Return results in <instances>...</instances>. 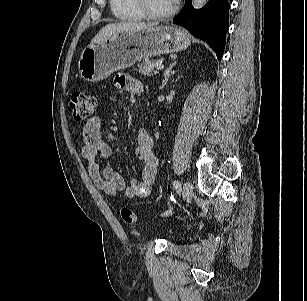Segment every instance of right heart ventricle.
I'll return each instance as SVG.
<instances>
[{
  "label": "right heart ventricle",
  "mask_w": 307,
  "mask_h": 301,
  "mask_svg": "<svg viewBox=\"0 0 307 301\" xmlns=\"http://www.w3.org/2000/svg\"><path fill=\"white\" fill-rule=\"evenodd\" d=\"M113 15L121 21H138L144 18L134 0H109Z\"/></svg>",
  "instance_id": "1"
}]
</instances>
